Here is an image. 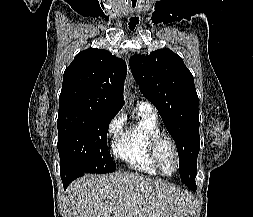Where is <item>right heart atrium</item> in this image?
Returning <instances> with one entry per match:
<instances>
[{
  "mask_svg": "<svg viewBox=\"0 0 253 217\" xmlns=\"http://www.w3.org/2000/svg\"><path fill=\"white\" fill-rule=\"evenodd\" d=\"M123 125V116L121 114H116L108 123L107 135L112 138L119 136L122 132Z\"/></svg>",
  "mask_w": 253,
  "mask_h": 217,
  "instance_id": "1",
  "label": "right heart atrium"
}]
</instances>
